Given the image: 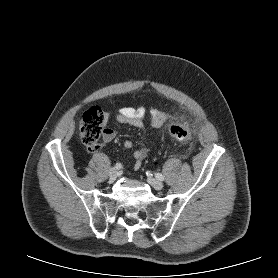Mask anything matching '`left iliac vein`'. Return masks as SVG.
Masks as SVG:
<instances>
[{
  "label": "left iliac vein",
  "instance_id": "4c4485c4",
  "mask_svg": "<svg viewBox=\"0 0 278 278\" xmlns=\"http://www.w3.org/2000/svg\"><path fill=\"white\" fill-rule=\"evenodd\" d=\"M148 183L156 190H161L163 188V183L153 177H148Z\"/></svg>",
  "mask_w": 278,
  "mask_h": 278
}]
</instances>
